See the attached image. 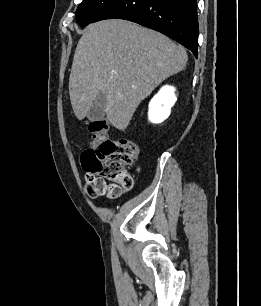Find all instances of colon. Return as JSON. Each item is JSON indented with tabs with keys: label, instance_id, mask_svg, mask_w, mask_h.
Returning <instances> with one entry per match:
<instances>
[{
	"label": "colon",
	"instance_id": "colon-1",
	"mask_svg": "<svg viewBox=\"0 0 261 306\" xmlns=\"http://www.w3.org/2000/svg\"><path fill=\"white\" fill-rule=\"evenodd\" d=\"M93 135L92 147L81 155L82 167L87 173L86 184L89 195L127 189L132 185L128 172L138 155L137 144L126 138L113 141L107 138L108 125L104 120L89 123ZM110 182V185H107Z\"/></svg>",
	"mask_w": 261,
	"mask_h": 306
}]
</instances>
